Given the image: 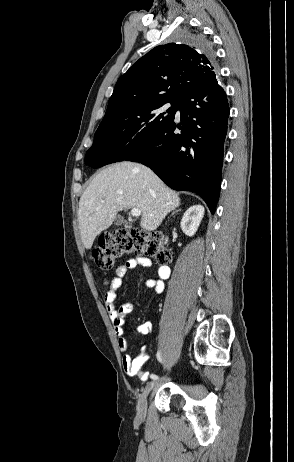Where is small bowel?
I'll return each mask as SVG.
<instances>
[{"label":"small bowel","instance_id":"small-bowel-1","mask_svg":"<svg viewBox=\"0 0 294 462\" xmlns=\"http://www.w3.org/2000/svg\"><path fill=\"white\" fill-rule=\"evenodd\" d=\"M138 266L151 268L154 266L153 262L147 257H137L126 261L125 264L116 268L114 273L104 280L106 292L104 295V304L108 315L111 319L115 335L118 339V347L122 352H126L129 348V341L125 337V324L128 316L133 311L131 303H124L119 308L116 307L117 290L122 284L123 277L128 271L136 269ZM170 276V268L166 265L158 267V276L156 278H149L146 280L145 285L160 294L164 290V281ZM152 331V323L147 321L143 322L136 327V332L139 335H148ZM149 359L146 346L141 348V353L135 357L125 354L122 359L123 369L128 376L138 377L142 381L149 378V372L144 369L145 363Z\"/></svg>","mask_w":294,"mask_h":462}]
</instances>
